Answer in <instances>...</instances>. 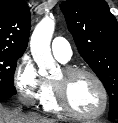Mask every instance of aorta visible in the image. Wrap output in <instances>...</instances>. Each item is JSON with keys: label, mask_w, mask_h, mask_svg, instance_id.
I'll list each match as a JSON object with an SVG mask.
<instances>
[{"label": "aorta", "mask_w": 118, "mask_h": 123, "mask_svg": "<svg viewBox=\"0 0 118 123\" xmlns=\"http://www.w3.org/2000/svg\"><path fill=\"white\" fill-rule=\"evenodd\" d=\"M55 28L53 16H46L35 27L31 36L30 48L34 61L39 67L41 76H48L55 70L56 62L52 57L50 42Z\"/></svg>", "instance_id": "1"}]
</instances>
